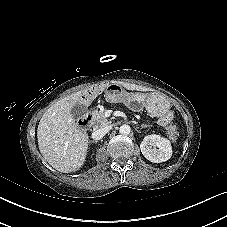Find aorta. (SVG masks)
Masks as SVG:
<instances>
[{"label": "aorta", "mask_w": 227, "mask_h": 227, "mask_svg": "<svg viewBox=\"0 0 227 227\" xmlns=\"http://www.w3.org/2000/svg\"><path fill=\"white\" fill-rule=\"evenodd\" d=\"M119 132L123 135H128L131 132V127L129 125L124 124L120 126Z\"/></svg>", "instance_id": "obj_1"}]
</instances>
